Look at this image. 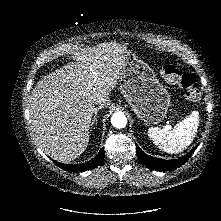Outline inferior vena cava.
Returning a JSON list of instances; mask_svg holds the SVG:
<instances>
[{
	"mask_svg": "<svg viewBox=\"0 0 221 221\" xmlns=\"http://www.w3.org/2000/svg\"><path fill=\"white\" fill-rule=\"evenodd\" d=\"M110 102L109 98L106 96H99L95 99V104L99 105V107H106Z\"/></svg>",
	"mask_w": 221,
	"mask_h": 221,
	"instance_id": "inferior-vena-cava-1",
	"label": "inferior vena cava"
}]
</instances>
